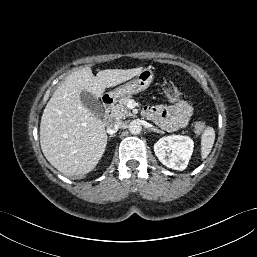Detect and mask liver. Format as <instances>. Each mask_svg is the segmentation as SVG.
<instances>
[{
	"label": "liver",
	"instance_id": "liver-1",
	"mask_svg": "<svg viewBox=\"0 0 257 257\" xmlns=\"http://www.w3.org/2000/svg\"><path fill=\"white\" fill-rule=\"evenodd\" d=\"M142 69H106L94 76L85 67L66 77L48 101L40 123L41 149L53 167L68 177L96 167L106 148L107 133L102 120L82 104L80 94L86 91L98 99L106 88L133 78Z\"/></svg>",
	"mask_w": 257,
	"mask_h": 257
}]
</instances>
